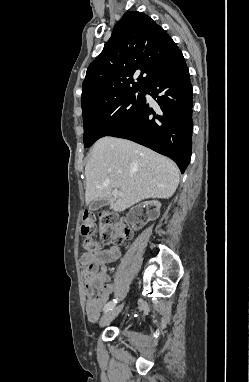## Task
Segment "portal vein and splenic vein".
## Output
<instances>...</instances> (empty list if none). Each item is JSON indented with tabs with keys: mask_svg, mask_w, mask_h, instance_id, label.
I'll return each instance as SVG.
<instances>
[{
	"mask_svg": "<svg viewBox=\"0 0 249 382\" xmlns=\"http://www.w3.org/2000/svg\"><path fill=\"white\" fill-rule=\"evenodd\" d=\"M112 195H113L114 197H118V196L123 197V196H124V194H123L122 192H120L118 189H114V190L112 191Z\"/></svg>",
	"mask_w": 249,
	"mask_h": 382,
	"instance_id": "portal-vein-and-splenic-vein-1",
	"label": "portal vein and splenic vein"
}]
</instances>
